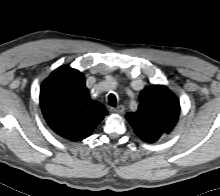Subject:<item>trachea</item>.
Listing matches in <instances>:
<instances>
[{"mask_svg":"<svg viewBox=\"0 0 220 196\" xmlns=\"http://www.w3.org/2000/svg\"><path fill=\"white\" fill-rule=\"evenodd\" d=\"M108 101H109V105L112 106V107H116L117 105V98L114 94H110L108 96Z\"/></svg>","mask_w":220,"mask_h":196,"instance_id":"3493384b","label":"trachea"}]
</instances>
